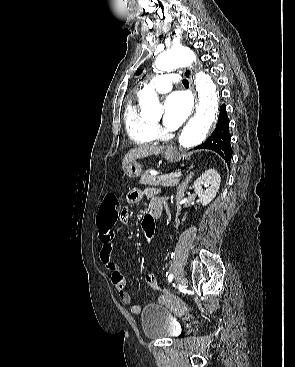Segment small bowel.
<instances>
[{"mask_svg": "<svg viewBox=\"0 0 295 367\" xmlns=\"http://www.w3.org/2000/svg\"><path fill=\"white\" fill-rule=\"evenodd\" d=\"M147 194L153 200H161V197L157 194V192L148 190ZM142 196V193L138 189H132L127 196V199L130 203H137ZM119 221L120 223H128L129 222V208H122ZM99 228V240L101 242V251L100 258L103 266L110 272L111 274V283L116 289L120 300L124 304H130L131 296L129 292L125 289V278L121 273L119 265L116 263L113 257L114 252V237L116 234V229L114 228V224L111 225H102L97 222ZM147 282L156 287V278L153 274L147 275ZM164 295H161V300H163ZM131 312L139 313L141 311V307L139 305H132L130 307Z\"/></svg>", "mask_w": 295, "mask_h": 367, "instance_id": "c3829d8e", "label": "small bowel"}]
</instances>
